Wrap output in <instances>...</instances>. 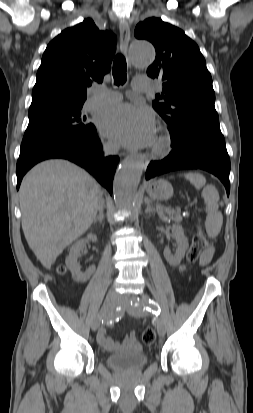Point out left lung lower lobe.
I'll return each mask as SVG.
<instances>
[{"label": "left lung lower lobe", "instance_id": "left-lung-lower-lobe-1", "mask_svg": "<svg viewBox=\"0 0 253 413\" xmlns=\"http://www.w3.org/2000/svg\"><path fill=\"white\" fill-rule=\"evenodd\" d=\"M173 150L161 161L151 162L146 179L180 169H203L217 176L230 192V159L219 121L195 120L170 131Z\"/></svg>", "mask_w": 253, "mask_h": 413}]
</instances>
